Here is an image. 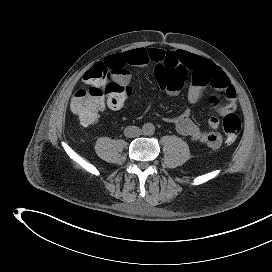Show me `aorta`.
<instances>
[{
    "label": "aorta",
    "mask_w": 272,
    "mask_h": 272,
    "mask_svg": "<svg viewBox=\"0 0 272 272\" xmlns=\"http://www.w3.org/2000/svg\"><path fill=\"white\" fill-rule=\"evenodd\" d=\"M144 135H152L155 132V126L152 123H145L142 127Z\"/></svg>",
    "instance_id": "obj_1"
}]
</instances>
